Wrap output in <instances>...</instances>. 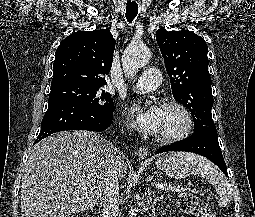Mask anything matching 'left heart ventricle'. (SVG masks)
I'll return each mask as SVG.
<instances>
[{"label":"left heart ventricle","instance_id":"obj_1","mask_svg":"<svg viewBox=\"0 0 255 217\" xmlns=\"http://www.w3.org/2000/svg\"><path fill=\"white\" fill-rule=\"evenodd\" d=\"M183 121V116L178 110L163 108V118L158 134L161 135L176 132L182 127Z\"/></svg>","mask_w":255,"mask_h":217}]
</instances>
